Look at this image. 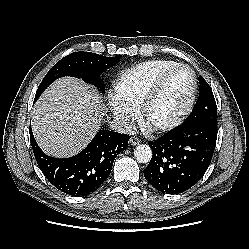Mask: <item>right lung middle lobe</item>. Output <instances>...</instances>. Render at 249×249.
<instances>
[{"label":"right lung middle lobe","mask_w":249,"mask_h":249,"mask_svg":"<svg viewBox=\"0 0 249 249\" xmlns=\"http://www.w3.org/2000/svg\"><path fill=\"white\" fill-rule=\"evenodd\" d=\"M121 55L105 57L91 52H74L58 61L46 74L39 85L35 99L56 79L71 76L81 78L84 82L94 84L104 93L101 73L115 66Z\"/></svg>","instance_id":"dd1d6c3e"}]
</instances>
